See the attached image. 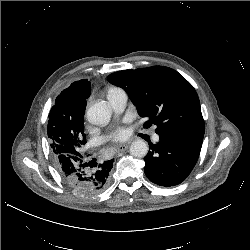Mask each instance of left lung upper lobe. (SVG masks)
<instances>
[{
  "label": "left lung upper lobe",
  "mask_w": 250,
  "mask_h": 250,
  "mask_svg": "<svg viewBox=\"0 0 250 250\" xmlns=\"http://www.w3.org/2000/svg\"><path fill=\"white\" fill-rule=\"evenodd\" d=\"M108 81L123 88L147 123L157 125L159 135H204L198 95L177 71L164 66L123 70Z\"/></svg>",
  "instance_id": "left-lung-upper-lobe-1"
}]
</instances>
